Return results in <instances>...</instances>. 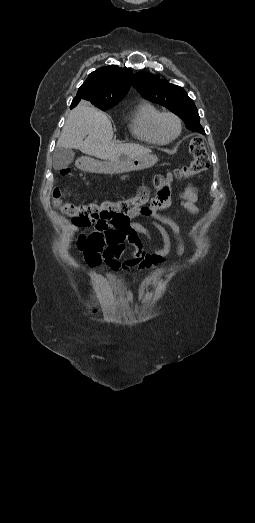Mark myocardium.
Wrapping results in <instances>:
<instances>
[{
	"mask_svg": "<svg viewBox=\"0 0 255 523\" xmlns=\"http://www.w3.org/2000/svg\"><path fill=\"white\" fill-rule=\"evenodd\" d=\"M167 118H171L172 120L175 121L176 125H177V132L175 135L171 136V137H167L163 131V122L165 119ZM156 129L159 133V135L165 140V141H172L174 139H176L180 134H181V131H182V120L181 118L179 117L178 114H176L175 112L173 111H163L160 113V115L158 116L157 120H156Z\"/></svg>",
	"mask_w": 255,
	"mask_h": 523,
	"instance_id": "f54148a6",
	"label": "myocardium"
}]
</instances>
